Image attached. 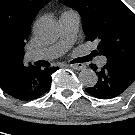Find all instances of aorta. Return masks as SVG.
Returning <instances> with one entry per match:
<instances>
[{"mask_svg":"<svg viewBox=\"0 0 135 135\" xmlns=\"http://www.w3.org/2000/svg\"><path fill=\"white\" fill-rule=\"evenodd\" d=\"M35 35L44 42L55 41L60 34V28L56 20L51 17H43L34 25ZM97 75L92 69H83L79 73V81L86 87H92L97 83Z\"/></svg>","mask_w":135,"mask_h":135,"instance_id":"obj_1","label":"aorta"}]
</instances>
